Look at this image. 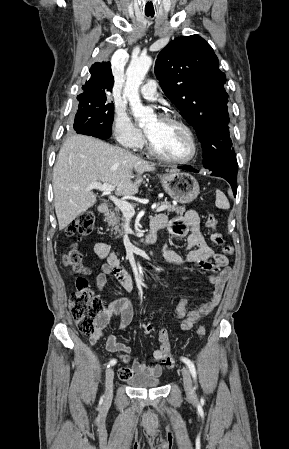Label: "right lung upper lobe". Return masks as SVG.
Masks as SVG:
<instances>
[{"label": "right lung upper lobe", "mask_w": 289, "mask_h": 449, "mask_svg": "<svg viewBox=\"0 0 289 449\" xmlns=\"http://www.w3.org/2000/svg\"><path fill=\"white\" fill-rule=\"evenodd\" d=\"M90 74L91 78L82 86L84 93L80 95L112 92L114 80L110 62L95 63L90 68Z\"/></svg>", "instance_id": "1"}]
</instances>
